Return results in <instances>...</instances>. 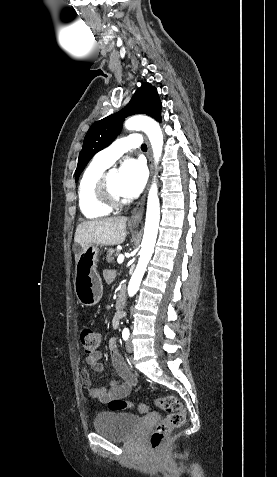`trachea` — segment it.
Wrapping results in <instances>:
<instances>
[{
  "instance_id": "obj_1",
  "label": "trachea",
  "mask_w": 277,
  "mask_h": 477,
  "mask_svg": "<svg viewBox=\"0 0 277 477\" xmlns=\"http://www.w3.org/2000/svg\"><path fill=\"white\" fill-rule=\"evenodd\" d=\"M141 150L146 151V150H147V145H146V144H142Z\"/></svg>"
}]
</instances>
